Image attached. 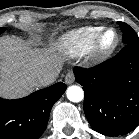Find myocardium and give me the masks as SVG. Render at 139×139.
I'll use <instances>...</instances> for the list:
<instances>
[{"instance_id":"1","label":"myocardium","mask_w":139,"mask_h":139,"mask_svg":"<svg viewBox=\"0 0 139 139\" xmlns=\"http://www.w3.org/2000/svg\"><path fill=\"white\" fill-rule=\"evenodd\" d=\"M109 31H112L115 34V40L112 45L104 48L101 45V41L103 36ZM119 44H120L119 32L113 27L103 28L93 40L90 51L88 52L90 55V59L96 63H101L106 61L114 54Z\"/></svg>"}]
</instances>
